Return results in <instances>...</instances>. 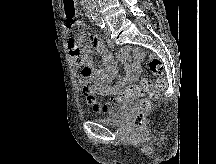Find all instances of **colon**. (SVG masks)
Listing matches in <instances>:
<instances>
[{
    "instance_id": "5ec220e1",
    "label": "colon",
    "mask_w": 216,
    "mask_h": 164,
    "mask_svg": "<svg viewBox=\"0 0 216 164\" xmlns=\"http://www.w3.org/2000/svg\"><path fill=\"white\" fill-rule=\"evenodd\" d=\"M149 70L151 75L146 76L136 83L123 88L117 95L116 100L119 103H126L140 98L138 109L132 118L134 126L144 124L152 108V100L156 99L166 86L163 78L164 65L162 61L151 55L149 57Z\"/></svg>"
}]
</instances>
